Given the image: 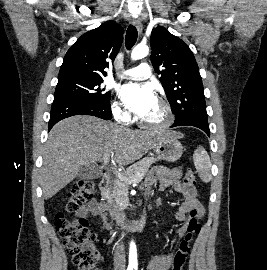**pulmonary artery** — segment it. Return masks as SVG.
<instances>
[{
    "label": "pulmonary artery",
    "mask_w": 267,
    "mask_h": 270,
    "mask_svg": "<svg viewBox=\"0 0 267 270\" xmlns=\"http://www.w3.org/2000/svg\"><path fill=\"white\" fill-rule=\"evenodd\" d=\"M152 74V70L149 64L141 63L140 65L127 69L122 72L121 76L128 79L141 80L149 78Z\"/></svg>",
    "instance_id": "pulmonary-artery-1"
}]
</instances>
